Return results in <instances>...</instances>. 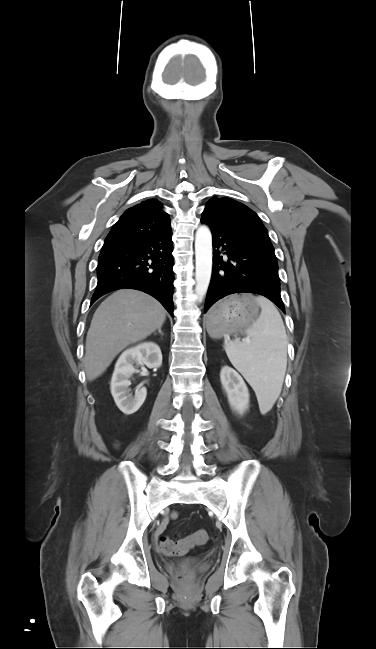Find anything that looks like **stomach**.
<instances>
[{"mask_svg":"<svg viewBox=\"0 0 376 649\" xmlns=\"http://www.w3.org/2000/svg\"><path fill=\"white\" fill-rule=\"evenodd\" d=\"M259 304L250 294L231 295L218 302L207 316V331L220 338L250 326L258 317Z\"/></svg>","mask_w":376,"mask_h":649,"instance_id":"stomach-1","label":"stomach"}]
</instances>
